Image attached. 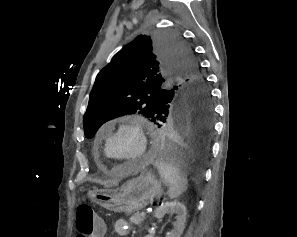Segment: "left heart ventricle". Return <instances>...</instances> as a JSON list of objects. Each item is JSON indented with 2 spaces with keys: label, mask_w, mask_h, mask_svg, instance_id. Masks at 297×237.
<instances>
[{
  "label": "left heart ventricle",
  "mask_w": 297,
  "mask_h": 237,
  "mask_svg": "<svg viewBox=\"0 0 297 237\" xmlns=\"http://www.w3.org/2000/svg\"><path fill=\"white\" fill-rule=\"evenodd\" d=\"M137 149L136 136L127 130L114 136L108 146L109 153L118 158L129 157L135 154Z\"/></svg>",
  "instance_id": "b2bd125f"
}]
</instances>
